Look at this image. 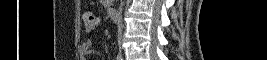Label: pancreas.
<instances>
[{
  "instance_id": "obj_1",
  "label": "pancreas",
  "mask_w": 267,
  "mask_h": 60,
  "mask_svg": "<svg viewBox=\"0 0 267 60\" xmlns=\"http://www.w3.org/2000/svg\"><path fill=\"white\" fill-rule=\"evenodd\" d=\"M103 2L105 3V5L107 7L111 6V4H112V1L111 0H103Z\"/></svg>"
}]
</instances>
